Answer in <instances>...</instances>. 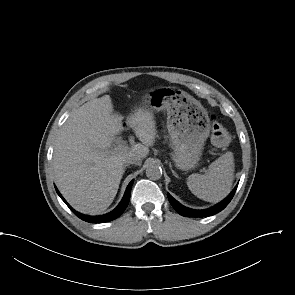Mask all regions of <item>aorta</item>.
<instances>
[{
  "mask_svg": "<svg viewBox=\"0 0 295 295\" xmlns=\"http://www.w3.org/2000/svg\"><path fill=\"white\" fill-rule=\"evenodd\" d=\"M146 176L152 180H158L162 176V169L158 164H150L146 168Z\"/></svg>",
  "mask_w": 295,
  "mask_h": 295,
  "instance_id": "762f6f07",
  "label": "aorta"
}]
</instances>
